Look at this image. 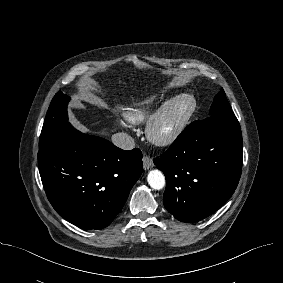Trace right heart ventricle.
Masks as SVG:
<instances>
[{
	"label": "right heart ventricle",
	"mask_w": 283,
	"mask_h": 283,
	"mask_svg": "<svg viewBox=\"0 0 283 283\" xmlns=\"http://www.w3.org/2000/svg\"><path fill=\"white\" fill-rule=\"evenodd\" d=\"M156 104L153 96L135 101L124 109V117L132 124L143 123L150 117Z\"/></svg>",
	"instance_id": "e07e8e85"
}]
</instances>
